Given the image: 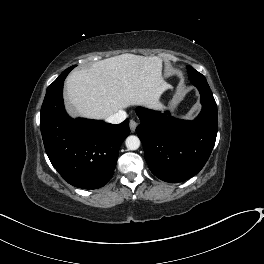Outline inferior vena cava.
<instances>
[{
    "mask_svg": "<svg viewBox=\"0 0 264 264\" xmlns=\"http://www.w3.org/2000/svg\"><path fill=\"white\" fill-rule=\"evenodd\" d=\"M126 118H127L126 112L123 110H119L118 112L108 116L106 118V121L112 124H119L123 122Z\"/></svg>",
    "mask_w": 264,
    "mask_h": 264,
    "instance_id": "1",
    "label": "inferior vena cava"
}]
</instances>
